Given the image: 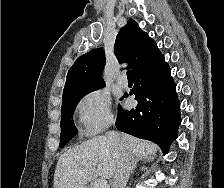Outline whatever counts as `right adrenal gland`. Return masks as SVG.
I'll return each mask as SVG.
<instances>
[{
  "instance_id": "obj_1",
  "label": "right adrenal gland",
  "mask_w": 224,
  "mask_h": 188,
  "mask_svg": "<svg viewBox=\"0 0 224 188\" xmlns=\"http://www.w3.org/2000/svg\"><path fill=\"white\" fill-rule=\"evenodd\" d=\"M154 157L149 155V156H145V157H135L133 158V161H132V168H131V174L133 173L134 169L137 167V163L139 161H143V162H146V161H151L153 160Z\"/></svg>"
}]
</instances>
